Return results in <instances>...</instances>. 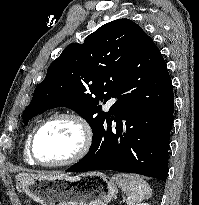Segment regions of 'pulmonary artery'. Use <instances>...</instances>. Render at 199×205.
Instances as JSON below:
<instances>
[{
    "instance_id": "1",
    "label": "pulmonary artery",
    "mask_w": 199,
    "mask_h": 205,
    "mask_svg": "<svg viewBox=\"0 0 199 205\" xmlns=\"http://www.w3.org/2000/svg\"><path fill=\"white\" fill-rule=\"evenodd\" d=\"M116 102H117V97L114 96V97H112V98L108 101V105L115 104Z\"/></svg>"
}]
</instances>
